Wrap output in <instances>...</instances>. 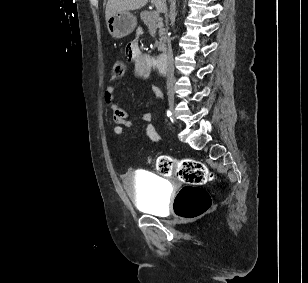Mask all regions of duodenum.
Listing matches in <instances>:
<instances>
[{
    "instance_id": "410a0bca",
    "label": "duodenum",
    "mask_w": 308,
    "mask_h": 283,
    "mask_svg": "<svg viewBox=\"0 0 308 283\" xmlns=\"http://www.w3.org/2000/svg\"><path fill=\"white\" fill-rule=\"evenodd\" d=\"M148 59L150 60L151 58L149 57ZM167 64H168V54H167V52H162L161 54H159L154 61L155 67L161 73H166Z\"/></svg>"
}]
</instances>
